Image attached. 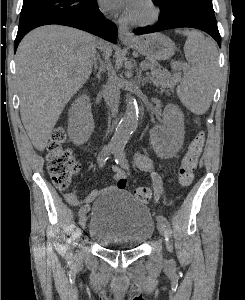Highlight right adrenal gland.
Returning <instances> with one entry per match:
<instances>
[{"label": "right adrenal gland", "mask_w": 245, "mask_h": 300, "mask_svg": "<svg viewBox=\"0 0 245 300\" xmlns=\"http://www.w3.org/2000/svg\"><path fill=\"white\" fill-rule=\"evenodd\" d=\"M104 71V67L102 65V63L100 62V69H99V72L97 73V78L100 79L101 77V73Z\"/></svg>", "instance_id": "1"}]
</instances>
